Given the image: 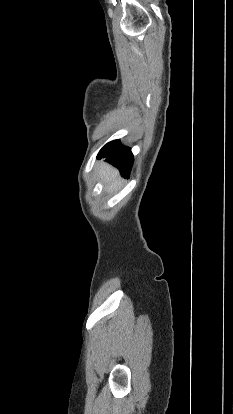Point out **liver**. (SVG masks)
Here are the masks:
<instances>
[{"label": "liver", "instance_id": "6515ba94", "mask_svg": "<svg viewBox=\"0 0 233 414\" xmlns=\"http://www.w3.org/2000/svg\"><path fill=\"white\" fill-rule=\"evenodd\" d=\"M99 176L106 184L108 191L117 190L120 186L118 170L107 163L100 164Z\"/></svg>", "mask_w": 233, "mask_h": 414}]
</instances>
